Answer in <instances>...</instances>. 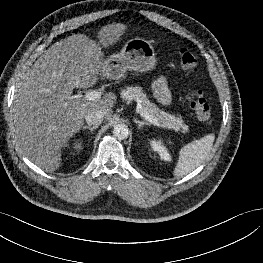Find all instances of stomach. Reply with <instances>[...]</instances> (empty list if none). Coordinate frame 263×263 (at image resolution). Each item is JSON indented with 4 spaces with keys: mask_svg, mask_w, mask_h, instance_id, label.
<instances>
[{
    "mask_svg": "<svg viewBox=\"0 0 263 263\" xmlns=\"http://www.w3.org/2000/svg\"><path fill=\"white\" fill-rule=\"evenodd\" d=\"M109 68V78L121 79L126 71L147 72L156 66V56L151 43L142 38L128 40L121 51L105 60Z\"/></svg>",
    "mask_w": 263,
    "mask_h": 263,
    "instance_id": "stomach-1",
    "label": "stomach"
}]
</instances>
